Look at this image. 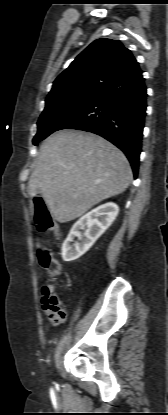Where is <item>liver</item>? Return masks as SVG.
<instances>
[{
  "label": "liver",
  "mask_w": 168,
  "mask_h": 415,
  "mask_svg": "<svg viewBox=\"0 0 168 415\" xmlns=\"http://www.w3.org/2000/svg\"><path fill=\"white\" fill-rule=\"evenodd\" d=\"M133 178L125 155L93 133L63 130L41 145L29 194H40L52 217L66 223L123 193Z\"/></svg>",
  "instance_id": "obj_1"
}]
</instances>
